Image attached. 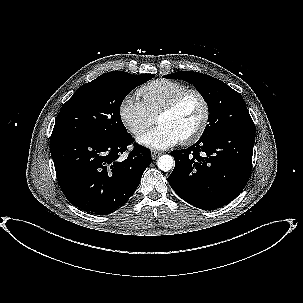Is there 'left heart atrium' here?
<instances>
[{"label": "left heart atrium", "mask_w": 303, "mask_h": 303, "mask_svg": "<svg viewBox=\"0 0 303 303\" xmlns=\"http://www.w3.org/2000/svg\"><path fill=\"white\" fill-rule=\"evenodd\" d=\"M138 141L140 144L153 149H166L179 143L181 138L167 125L158 124L140 136Z\"/></svg>", "instance_id": "1"}]
</instances>
